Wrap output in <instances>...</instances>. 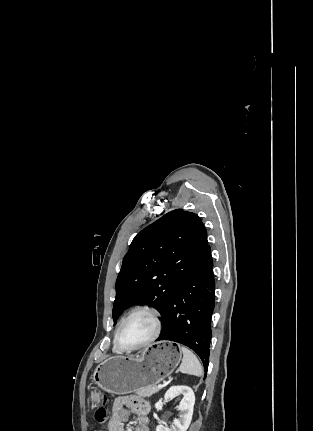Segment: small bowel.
Masks as SVG:
<instances>
[{
    "instance_id": "obj_1",
    "label": "small bowel",
    "mask_w": 313,
    "mask_h": 431,
    "mask_svg": "<svg viewBox=\"0 0 313 431\" xmlns=\"http://www.w3.org/2000/svg\"><path fill=\"white\" fill-rule=\"evenodd\" d=\"M129 410L139 419V425L135 431H149L150 406L145 400L133 395L122 396L115 401L113 413L108 422V431H126L124 422L128 419Z\"/></svg>"
}]
</instances>
